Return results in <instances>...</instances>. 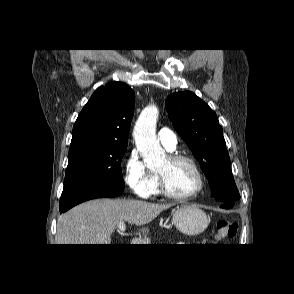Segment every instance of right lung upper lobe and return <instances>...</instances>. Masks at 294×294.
<instances>
[{
    "label": "right lung upper lobe",
    "instance_id": "cb5924a9",
    "mask_svg": "<svg viewBox=\"0 0 294 294\" xmlns=\"http://www.w3.org/2000/svg\"><path fill=\"white\" fill-rule=\"evenodd\" d=\"M134 105V91L128 85L112 82L100 87L74 124L71 146L82 143L127 146Z\"/></svg>",
    "mask_w": 294,
    "mask_h": 294
}]
</instances>
